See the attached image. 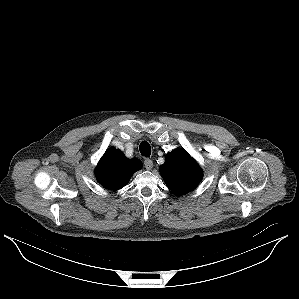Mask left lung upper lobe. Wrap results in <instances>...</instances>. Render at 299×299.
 I'll list each match as a JSON object with an SVG mask.
<instances>
[{
  "label": "left lung upper lobe",
  "mask_w": 299,
  "mask_h": 299,
  "mask_svg": "<svg viewBox=\"0 0 299 299\" xmlns=\"http://www.w3.org/2000/svg\"><path fill=\"white\" fill-rule=\"evenodd\" d=\"M160 173L167 187L178 196L195 189L203 177L197 162L180 148L166 155Z\"/></svg>",
  "instance_id": "left-lung-upper-lobe-1"
}]
</instances>
